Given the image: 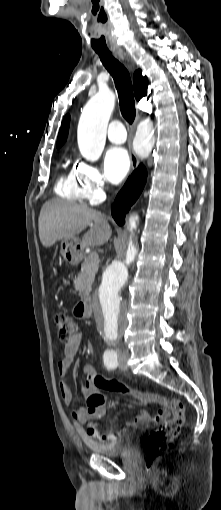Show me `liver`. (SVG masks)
<instances>
[{
  "mask_svg": "<svg viewBox=\"0 0 221 510\" xmlns=\"http://www.w3.org/2000/svg\"><path fill=\"white\" fill-rule=\"evenodd\" d=\"M87 226L90 229L83 235L82 248L104 245L112 235L111 227L101 212L86 205L52 199L41 208L39 238L48 248L59 240L74 237Z\"/></svg>",
  "mask_w": 221,
  "mask_h": 510,
  "instance_id": "obj_1",
  "label": "liver"
}]
</instances>
